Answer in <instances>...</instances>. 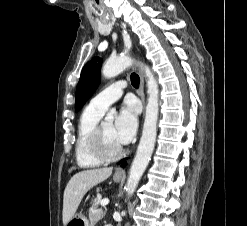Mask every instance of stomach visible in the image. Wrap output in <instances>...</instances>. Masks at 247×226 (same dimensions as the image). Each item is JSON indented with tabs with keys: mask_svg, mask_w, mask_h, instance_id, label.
I'll return each instance as SVG.
<instances>
[{
	"mask_svg": "<svg viewBox=\"0 0 247 226\" xmlns=\"http://www.w3.org/2000/svg\"><path fill=\"white\" fill-rule=\"evenodd\" d=\"M114 182L118 183L121 181L120 177H113ZM66 226H91L85 215L82 213H78L74 215L70 221L66 224Z\"/></svg>",
	"mask_w": 247,
	"mask_h": 226,
	"instance_id": "1",
	"label": "stomach"
}]
</instances>
